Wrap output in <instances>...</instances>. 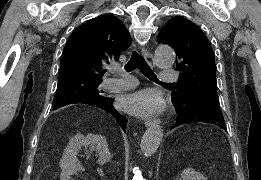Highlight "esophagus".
<instances>
[{
	"label": "esophagus",
	"mask_w": 261,
	"mask_h": 180,
	"mask_svg": "<svg viewBox=\"0 0 261 180\" xmlns=\"http://www.w3.org/2000/svg\"><path fill=\"white\" fill-rule=\"evenodd\" d=\"M144 58L146 59V61L148 62L149 65L154 66V59L152 54L149 52V50H147L146 48H144L142 50ZM158 123H160L159 118H147L145 120V126L146 127H151L152 125H157Z\"/></svg>",
	"instance_id": "34e87169"
}]
</instances>
